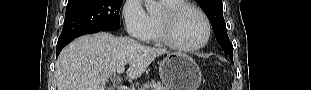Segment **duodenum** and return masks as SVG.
I'll use <instances>...</instances> for the list:
<instances>
[{
  "label": "duodenum",
  "mask_w": 311,
  "mask_h": 90,
  "mask_svg": "<svg viewBox=\"0 0 311 90\" xmlns=\"http://www.w3.org/2000/svg\"><path fill=\"white\" fill-rule=\"evenodd\" d=\"M117 90H130V88L126 85H121V86L117 87Z\"/></svg>",
  "instance_id": "1"
}]
</instances>
